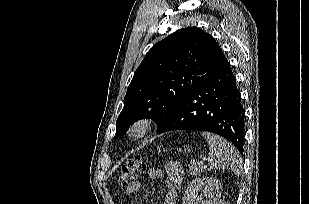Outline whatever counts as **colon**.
I'll return each instance as SVG.
<instances>
[{"label":"colon","mask_w":309,"mask_h":204,"mask_svg":"<svg viewBox=\"0 0 309 204\" xmlns=\"http://www.w3.org/2000/svg\"><path fill=\"white\" fill-rule=\"evenodd\" d=\"M144 162L140 156L130 159L122 167L119 175V183L121 186L130 185L143 171Z\"/></svg>","instance_id":"5ec220e1"}]
</instances>
